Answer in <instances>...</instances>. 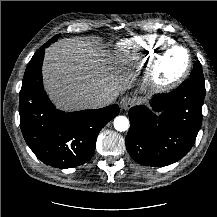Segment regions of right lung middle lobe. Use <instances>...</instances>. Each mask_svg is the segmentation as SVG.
<instances>
[{"label":"right lung middle lobe","instance_id":"right-lung-middle-lobe-1","mask_svg":"<svg viewBox=\"0 0 217 217\" xmlns=\"http://www.w3.org/2000/svg\"><path fill=\"white\" fill-rule=\"evenodd\" d=\"M59 36H60V35L54 36V37H53L52 39H50L46 44L50 45L51 43L55 42V41L58 39Z\"/></svg>","mask_w":217,"mask_h":217}]
</instances>
